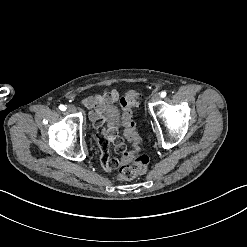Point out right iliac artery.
I'll use <instances>...</instances> for the list:
<instances>
[{
  "mask_svg": "<svg viewBox=\"0 0 247 247\" xmlns=\"http://www.w3.org/2000/svg\"><path fill=\"white\" fill-rule=\"evenodd\" d=\"M59 109H60L61 111H65V110H66V106L60 105V106H59Z\"/></svg>",
  "mask_w": 247,
  "mask_h": 247,
  "instance_id": "obj_1",
  "label": "right iliac artery"
}]
</instances>
